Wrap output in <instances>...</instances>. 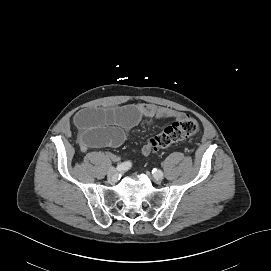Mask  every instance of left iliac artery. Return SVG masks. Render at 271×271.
Instances as JSON below:
<instances>
[{"instance_id":"left-iliac-artery-1","label":"left iliac artery","mask_w":271,"mask_h":271,"mask_svg":"<svg viewBox=\"0 0 271 271\" xmlns=\"http://www.w3.org/2000/svg\"><path fill=\"white\" fill-rule=\"evenodd\" d=\"M152 173H153L154 176H163L162 171L159 170V169H153Z\"/></svg>"}]
</instances>
